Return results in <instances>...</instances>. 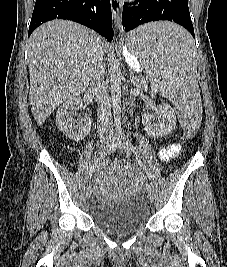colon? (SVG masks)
I'll use <instances>...</instances> for the list:
<instances>
[{
    "mask_svg": "<svg viewBox=\"0 0 227 267\" xmlns=\"http://www.w3.org/2000/svg\"><path fill=\"white\" fill-rule=\"evenodd\" d=\"M175 117L177 119V124L180 125V130L183 131L181 140H194L196 132L193 130V125H191V123H187L186 115L176 113Z\"/></svg>",
    "mask_w": 227,
    "mask_h": 267,
    "instance_id": "5ec220e1",
    "label": "colon"
}]
</instances>
